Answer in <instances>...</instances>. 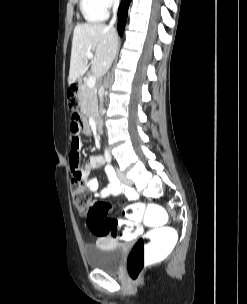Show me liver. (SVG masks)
Listing matches in <instances>:
<instances>
[{
  "label": "liver",
  "mask_w": 247,
  "mask_h": 304,
  "mask_svg": "<svg viewBox=\"0 0 247 304\" xmlns=\"http://www.w3.org/2000/svg\"><path fill=\"white\" fill-rule=\"evenodd\" d=\"M118 44L113 27L101 23L78 24L73 33L68 84H73L84 72L86 53L95 52L91 73L102 77L111 66Z\"/></svg>",
  "instance_id": "obj_1"
}]
</instances>
